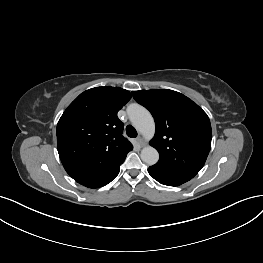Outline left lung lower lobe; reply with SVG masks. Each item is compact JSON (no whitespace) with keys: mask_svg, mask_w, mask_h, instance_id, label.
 Segmentation results:
<instances>
[{"mask_svg":"<svg viewBox=\"0 0 263 263\" xmlns=\"http://www.w3.org/2000/svg\"><path fill=\"white\" fill-rule=\"evenodd\" d=\"M148 172L159 183H161L163 185H168V186H178V185H181V184H183V183H185L191 179L189 177L175 175V174L165 172V171H163V170H161L155 166H150L148 168Z\"/></svg>","mask_w":263,"mask_h":263,"instance_id":"obj_1","label":"left lung lower lobe"}]
</instances>
